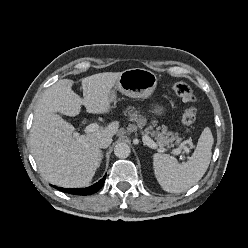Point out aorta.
<instances>
[{"label":"aorta","mask_w":248,"mask_h":248,"mask_svg":"<svg viewBox=\"0 0 248 248\" xmlns=\"http://www.w3.org/2000/svg\"><path fill=\"white\" fill-rule=\"evenodd\" d=\"M131 153L130 146L125 143L121 142L115 145L114 147V154L118 158H127Z\"/></svg>","instance_id":"762f6f07"}]
</instances>
